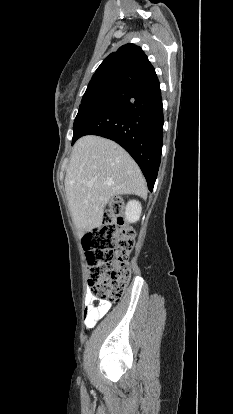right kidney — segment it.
Here are the masks:
<instances>
[{"label":"right kidney","mask_w":233,"mask_h":414,"mask_svg":"<svg viewBox=\"0 0 233 414\" xmlns=\"http://www.w3.org/2000/svg\"><path fill=\"white\" fill-rule=\"evenodd\" d=\"M141 204L136 200H131L127 203L125 208V216L128 222L134 223L139 220L141 215Z\"/></svg>","instance_id":"ca27d5eb"}]
</instances>
